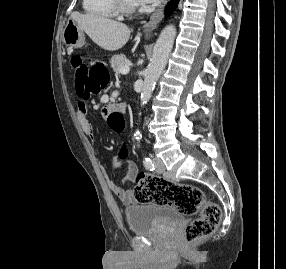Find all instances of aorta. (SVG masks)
Returning a JSON list of instances; mask_svg holds the SVG:
<instances>
[{
  "mask_svg": "<svg viewBox=\"0 0 286 269\" xmlns=\"http://www.w3.org/2000/svg\"><path fill=\"white\" fill-rule=\"evenodd\" d=\"M175 37V26L168 25L161 31L155 43L152 59L146 69L144 84L141 92L140 98L142 106L146 104L152 96L155 84L167 64ZM134 137L139 141L141 139V133L136 131Z\"/></svg>",
  "mask_w": 286,
  "mask_h": 269,
  "instance_id": "obj_1",
  "label": "aorta"
}]
</instances>
